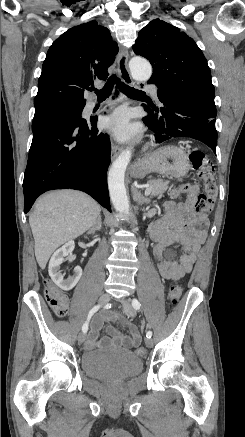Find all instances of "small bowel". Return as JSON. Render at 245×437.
<instances>
[{
	"label": "small bowel",
	"mask_w": 245,
	"mask_h": 437,
	"mask_svg": "<svg viewBox=\"0 0 245 437\" xmlns=\"http://www.w3.org/2000/svg\"><path fill=\"white\" fill-rule=\"evenodd\" d=\"M208 225L207 215L197 211L192 200L166 203L164 216L152 227L150 233L156 242L152 251L153 259L158 273L165 280H179L192 271L206 239ZM178 242L184 245V254L179 259L163 258V251ZM105 319L103 316L94 319L87 348H94L98 343H110L109 338L97 340L98 330ZM109 332L113 342L124 348H132L140 343V335L135 326H130V335H125L114 327L109 328Z\"/></svg>",
	"instance_id": "c3829d8e"
}]
</instances>
